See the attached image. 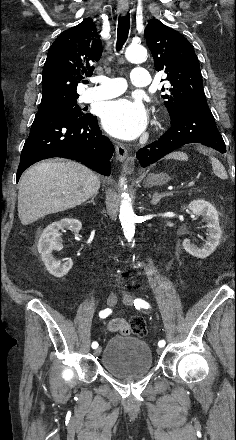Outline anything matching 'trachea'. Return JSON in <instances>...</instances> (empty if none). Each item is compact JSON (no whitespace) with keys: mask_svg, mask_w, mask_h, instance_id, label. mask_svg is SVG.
Wrapping results in <instances>:
<instances>
[{"mask_svg":"<svg viewBox=\"0 0 236 440\" xmlns=\"http://www.w3.org/2000/svg\"><path fill=\"white\" fill-rule=\"evenodd\" d=\"M129 29H130V15L127 14L125 16H120L118 20V29H117V44H116L117 51H120L122 46L126 42Z\"/></svg>","mask_w":236,"mask_h":440,"instance_id":"obj_1","label":"trachea"}]
</instances>
